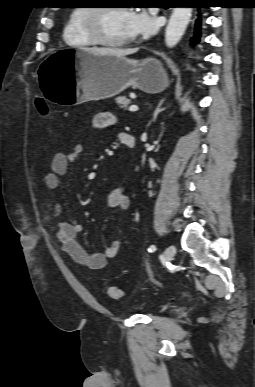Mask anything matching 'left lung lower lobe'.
I'll list each match as a JSON object with an SVG mask.
<instances>
[{"mask_svg":"<svg viewBox=\"0 0 255 387\" xmlns=\"http://www.w3.org/2000/svg\"><path fill=\"white\" fill-rule=\"evenodd\" d=\"M186 2L189 3V4H192L193 7H196V8L205 7V6L202 5L204 0H187ZM198 16H199V18L196 19V23H195V30L196 31L194 33V37L192 38V41L195 44L200 41V36H201V33H200V26H201L200 14Z\"/></svg>","mask_w":255,"mask_h":387,"instance_id":"0a47b994","label":"left lung lower lobe"}]
</instances>
